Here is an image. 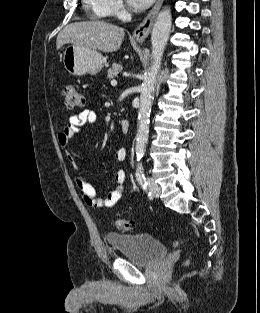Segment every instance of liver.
<instances>
[{
    "mask_svg": "<svg viewBox=\"0 0 260 313\" xmlns=\"http://www.w3.org/2000/svg\"><path fill=\"white\" fill-rule=\"evenodd\" d=\"M124 29L103 21H82L67 25L57 36L56 46L64 44L99 50L107 53L117 51L124 39Z\"/></svg>",
    "mask_w": 260,
    "mask_h": 313,
    "instance_id": "1",
    "label": "liver"
}]
</instances>
